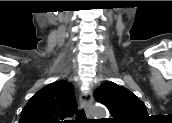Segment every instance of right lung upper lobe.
Returning <instances> with one entry per match:
<instances>
[{
	"label": "right lung upper lobe",
	"instance_id": "1",
	"mask_svg": "<svg viewBox=\"0 0 172 123\" xmlns=\"http://www.w3.org/2000/svg\"><path fill=\"white\" fill-rule=\"evenodd\" d=\"M73 85L56 81L40 89L25 105L19 123H64L74 112Z\"/></svg>",
	"mask_w": 172,
	"mask_h": 123
}]
</instances>
